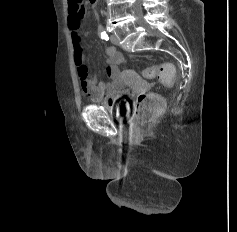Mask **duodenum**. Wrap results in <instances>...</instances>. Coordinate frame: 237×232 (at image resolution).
<instances>
[{"instance_id":"410a0bca","label":"duodenum","mask_w":237,"mask_h":232,"mask_svg":"<svg viewBox=\"0 0 237 232\" xmlns=\"http://www.w3.org/2000/svg\"><path fill=\"white\" fill-rule=\"evenodd\" d=\"M91 4H94L95 3V0H89Z\"/></svg>"}]
</instances>
